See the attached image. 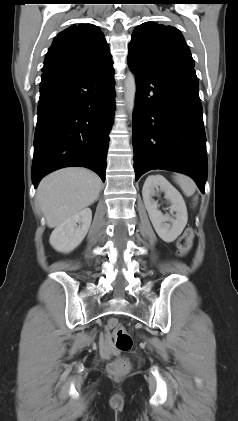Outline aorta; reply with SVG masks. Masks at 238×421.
<instances>
[{
  "label": "aorta",
  "mask_w": 238,
  "mask_h": 421,
  "mask_svg": "<svg viewBox=\"0 0 238 421\" xmlns=\"http://www.w3.org/2000/svg\"><path fill=\"white\" fill-rule=\"evenodd\" d=\"M135 95H136V80L133 73L129 72L125 79V104L126 110L129 114H132L135 107Z\"/></svg>",
  "instance_id": "aorta-1"
}]
</instances>
